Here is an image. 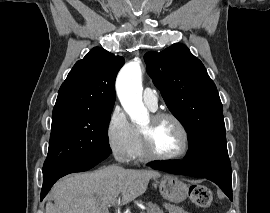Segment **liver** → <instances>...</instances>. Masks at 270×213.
Instances as JSON below:
<instances>
[{
    "instance_id": "obj_1",
    "label": "liver",
    "mask_w": 270,
    "mask_h": 213,
    "mask_svg": "<svg viewBox=\"0 0 270 213\" xmlns=\"http://www.w3.org/2000/svg\"><path fill=\"white\" fill-rule=\"evenodd\" d=\"M158 176L160 173L154 170L116 166L72 174L54 185L45 213H108L107 206L119 194H122L121 204H128L146 191L150 179Z\"/></svg>"
}]
</instances>
